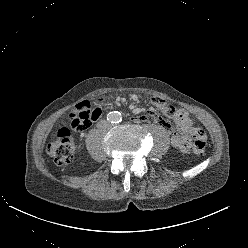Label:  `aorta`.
<instances>
[{"label": "aorta", "instance_id": "1", "mask_svg": "<svg viewBox=\"0 0 248 248\" xmlns=\"http://www.w3.org/2000/svg\"><path fill=\"white\" fill-rule=\"evenodd\" d=\"M110 120L112 122H119L121 120V114L117 111L111 112Z\"/></svg>", "mask_w": 248, "mask_h": 248}]
</instances>
